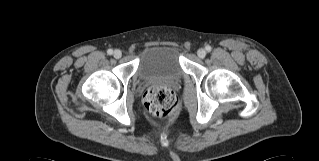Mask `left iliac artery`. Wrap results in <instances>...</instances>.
Wrapping results in <instances>:
<instances>
[{
    "label": "left iliac artery",
    "mask_w": 319,
    "mask_h": 161,
    "mask_svg": "<svg viewBox=\"0 0 319 161\" xmlns=\"http://www.w3.org/2000/svg\"><path fill=\"white\" fill-rule=\"evenodd\" d=\"M205 49H206L208 52H210L212 48H211V46L207 45V46L205 47Z\"/></svg>",
    "instance_id": "obj_1"
}]
</instances>
